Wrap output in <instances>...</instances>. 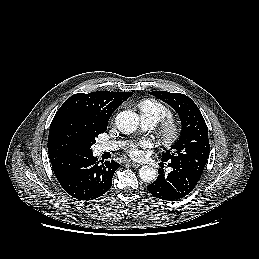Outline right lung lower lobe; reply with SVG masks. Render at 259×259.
I'll return each mask as SVG.
<instances>
[{
	"label": "right lung lower lobe",
	"instance_id": "right-lung-lower-lobe-1",
	"mask_svg": "<svg viewBox=\"0 0 259 259\" xmlns=\"http://www.w3.org/2000/svg\"><path fill=\"white\" fill-rule=\"evenodd\" d=\"M62 188L78 200H93L106 193L120 164L114 160L101 165L91 153L76 154L51 161Z\"/></svg>",
	"mask_w": 259,
	"mask_h": 259
}]
</instances>
